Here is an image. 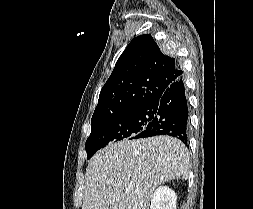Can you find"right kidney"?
I'll list each match as a JSON object with an SVG mask.
<instances>
[{
    "mask_svg": "<svg viewBox=\"0 0 253 209\" xmlns=\"http://www.w3.org/2000/svg\"><path fill=\"white\" fill-rule=\"evenodd\" d=\"M176 193L167 186H160L151 197L150 209H176Z\"/></svg>",
    "mask_w": 253,
    "mask_h": 209,
    "instance_id": "right-kidney-1",
    "label": "right kidney"
}]
</instances>
